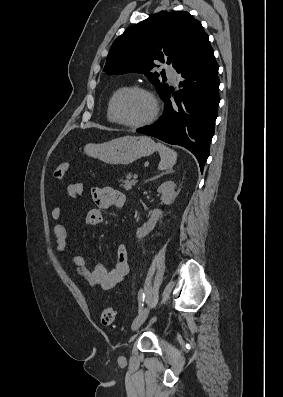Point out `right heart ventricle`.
I'll return each mask as SVG.
<instances>
[{
  "instance_id": "1",
  "label": "right heart ventricle",
  "mask_w": 283,
  "mask_h": 397,
  "mask_svg": "<svg viewBox=\"0 0 283 397\" xmlns=\"http://www.w3.org/2000/svg\"><path fill=\"white\" fill-rule=\"evenodd\" d=\"M126 88H128L127 85H120L117 86L116 88H114L109 96L108 102H107V110H106V114H107V118L110 122L116 123L114 114H113V101L115 99V97L123 90H125Z\"/></svg>"
}]
</instances>
